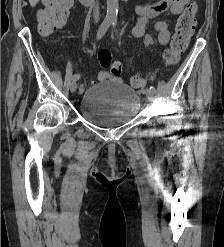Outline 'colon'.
<instances>
[{"instance_id":"obj_1","label":"colon","mask_w":224,"mask_h":247,"mask_svg":"<svg viewBox=\"0 0 224 247\" xmlns=\"http://www.w3.org/2000/svg\"><path fill=\"white\" fill-rule=\"evenodd\" d=\"M73 5V0H44V8L37 13L38 30L42 35H50L59 29ZM198 4L190 1L184 12L177 20L170 46L165 50L163 59L166 65L176 63L180 55L187 49L190 39L196 27V13ZM98 61L101 67L109 69L113 76H119L122 72V64L113 61L112 54L107 48L98 53ZM145 80L140 75L131 78L134 87H141Z\"/></svg>"}]
</instances>
